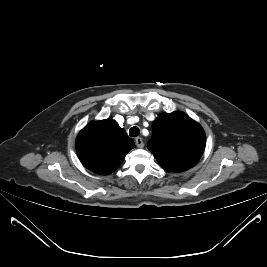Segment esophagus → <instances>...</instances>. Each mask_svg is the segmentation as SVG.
<instances>
[{
    "mask_svg": "<svg viewBox=\"0 0 267 267\" xmlns=\"http://www.w3.org/2000/svg\"><path fill=\"white\" fill-rule=\"evenodd\" d=\"M135 143H136V146L139 147V148H143L144 147V142H143L142 138H140V137H137L135 139Z\"/></svg>",
    "mask_w": 267,
    "mask_h": 267,
    "instance_id": "1",
    "label": "esophagus"
}]
</instances>
